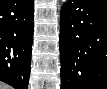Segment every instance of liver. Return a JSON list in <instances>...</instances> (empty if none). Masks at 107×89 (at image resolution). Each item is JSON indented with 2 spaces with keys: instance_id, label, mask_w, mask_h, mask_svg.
Listing matches in <instances>:
<instances>
[{
  "instance_id": "liver-1",
  "label": "liver",
  "mask_w": 107,
  "mask_h": 89,
  "mask_svg": "<svg viewBox=\"0 0 107 89\" xmlns=\"http://www.w3.org/2000/svg\"><path fill=\"white\" fill-rule=\"evenodd\" d=\"M1 89H10V87L8 85H4V84H1Z\"/></svg>"
}]
</instances>
